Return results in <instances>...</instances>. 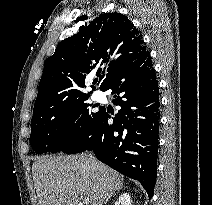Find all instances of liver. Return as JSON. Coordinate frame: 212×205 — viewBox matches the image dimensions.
<instances>
[{"mask_svg": "<svg viewBox=\"0 0 212 205\" xmlns=\"http://www.w3.org/2000/svg\"><path fill=\"white\" fill-rule=\"evenodd\" d=\"M37 205H80L79 196L91 205L123 186V176L84 155L46 156L32 166Z\"/></svg>", "mask_w": 212, "mask_h": 205, "instance_id": "obj_1", "label": "liver"}]
</instances>
